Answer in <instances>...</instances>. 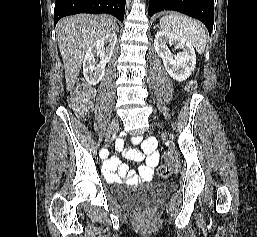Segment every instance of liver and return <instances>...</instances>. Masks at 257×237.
<instances>
[{
  "label": "liver",
  "mask_w": 257,
  "mask_h": 237,
  "mask_svg": "<svg viewBox=\"0 0 257 237\" xmlns=\"http://www.w3.org/2000/svg\"><path fill=\"white\" fill-rule=\"evenodd\" d=\"M116 29L115 19L108 15L78 14L66 17L58 23L57 38L64 63L67 90L74 87L88 48L103 36L114 33Z\"/></svg>",
  "instance_id": "obj_1"
}]
</instances>
